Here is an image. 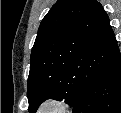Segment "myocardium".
I'll list each match as a JSON object with an SVG mask.
<instances>
[{
    "instance_id": "obj_1",
    "label": "myocardium",
    "mask_w": 121,
    "mask_h": 113,
    "mask_svg": "<svg viewBox=\"0 0 121 113\" xmlns=\"http://www.w3.org/2000/svg\"><path fill=\"white\" fill-rule=\"evenodd\" d=\"M69 108L67 102L58 98H46L36 108V113H65Z\"/></svg>"
}]
</instances>
